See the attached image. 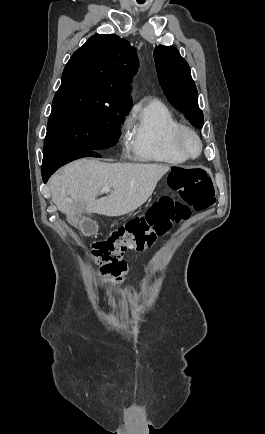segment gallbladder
I'll use <instances>...</instances> for the list:
<instances>
[{
    "label": "gallbladder",
    "mask_w": 265,
    "mask_h": 434,
    "mask_svg": "<svg viewBox=\"0 0 265 434\" xmlns=\"http://www.w3.org/2000/svg\"><path fill=\"white\" fill-rule=\"evenodd\" d=\"M80 226L79 229L82 232H85L87 236H90V234H93V232H98V228L95 224V221L92 218L82 219L80 220ZM90 232V233H87Z\"/></svg>",
    "instance_id": "1"
}]
</instances>
